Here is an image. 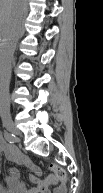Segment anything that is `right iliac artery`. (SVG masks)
<instances>
[{
	"label": "right iliac artery",
	"mask_w": 103,
	"mask_h": 193,
	"mask_svg": "<svg viewBox=\"0 0 103 193\" xmlns=\"http://www.w3.org/2000/svg\"><path fill=\"white\" fill-rule=\"evenodd\" d=\"M4 137L10 143H15L16 142V137H15L14 134H11V133H8V132H4Z\"/></svg>",
	"instance_id": "obj_1"
}]
</instances>
